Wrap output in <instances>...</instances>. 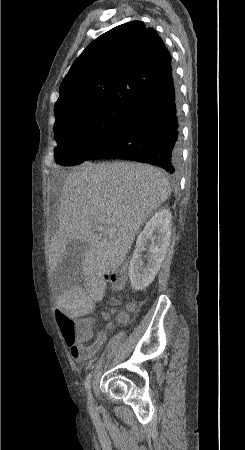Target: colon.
Here are the masks:
<instances>
[{
	"mask_svg": "<svg viewBox=\"0 0 245 450\" xmlns=\"http://www.w3.org/2000/svg\"><path fill=\"white\" fill-rule=\"evenodd\" d=\"M104 277L112 283L114 290L120 291L127 279V272L125 267H120L113 273L105 274ZM56 324L67 343H73L75 340L78 342L88 340L92 334L91 323L61 311L56 314Z\"/></svg>",
	"mask_w": 245,
	"mask_h": 450,
	"instance_id": "1",
	"label": "colon"
}]
</instances>
